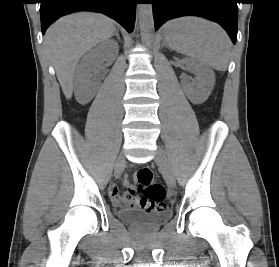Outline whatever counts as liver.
I'll return each instance as SVG.
<instances>
[{
    "instance_id": "liver-1",
    "label": "liver",
    "mask_w": 279,
    "mask_h": 267,
    "mask_svg": "<svg viewBox=\"0 0 279 267\" xmlns=\"http://www.w3.org/2000/svg\"><path fill=\"white\" fill-rule=\"evenodd\" d=\"M114 32L112 19L89 12L64 16L49 27L45 47L67 99L73 94L74 72L80 57Z\"/></svg>"
}]
</instances>
